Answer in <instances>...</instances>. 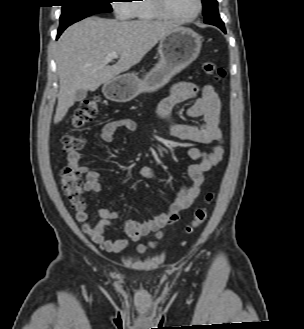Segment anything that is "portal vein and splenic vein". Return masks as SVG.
I'll list each match as a JSON object with an SVG mask.
<instances>
[{
    "mask_svg": "<svg viewBox=\"0 0 304 329\" xmlns=\"http://www.w3.org/2000/svg\"><path fill=\"white\" fill-rule=\"evenodd\" d=\"M118 57H119V54H118V53H110V54H108V55L105 57L104 62H105V63L112 62V61H114V59H116V58H118Z\"/></svg>",
    "mask_w": 304,
    "mask_h": 329,
    "instance_id": "1",
    "label": "portal vein and splenic vein"
}]
</instances>
